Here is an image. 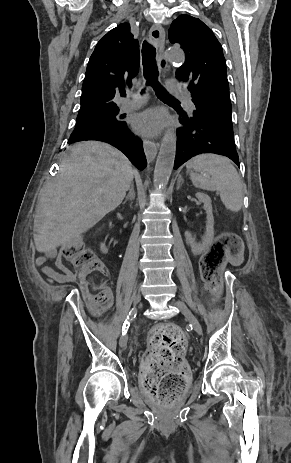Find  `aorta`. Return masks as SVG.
<instances>
[{"instance_id": "1", "label": "aorta", "mask_w": 291, "mask_h": 463, "mask_svg": "<svg viewBox=\"0 0 291 463\" xmlns=\"http://www.w3.org/2000/svg\"><path fill=\"white\" fill-rule=\"evenodd\" d=\"M166 59L170 62L182 64L185 61V55L182 51L171 48L166 52ZM175 155L176 133L174 128L170 126L164 133L155 165L153 178L155 188H165L168 184L174 166Z\"/></svg>"}]
</instances>
